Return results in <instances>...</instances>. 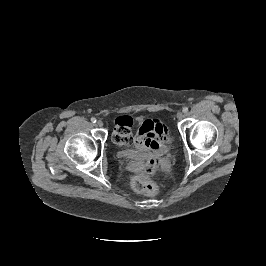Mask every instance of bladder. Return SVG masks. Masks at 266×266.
Returning <instances> with one entry per match:
<instances>
[{"label":"bladder","instance_id":"bladder-1","mask_svg":"<svg viewBox=\"0 0 266 266\" xmlns=\"http://www.w3.org/2000/svg\"><path fill=\"white\" fill-rule=\"evenodd\" d=\"M140 152L135 149H126L124 151V156L128 159H136L140 157Z\"/></svg>","mask_w":266,"mask_h":266}]
</instances>
